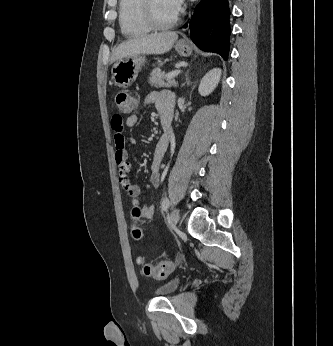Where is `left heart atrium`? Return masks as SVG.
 I'll list each match as a JSON object with an SVG mask.
<instances>
[{
	"label": "left heart atrium",
	"mask_w": 333,
	"mask_h": 346,
	"mask_svg": "<svg viewBox=\"0 0 333 346\" xmlns=\"http://www.w3.org/2000/svg\"><path fill=\"white\" fill-rule=\"evenodd\" d=\"M169 7L176 13L181 10L183 0H166Z\"/></svg>",
	"instance_id": "1"
}]
</instances>
